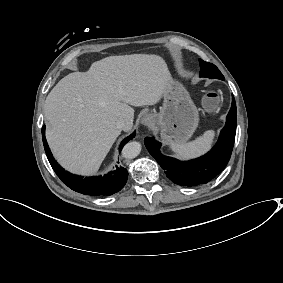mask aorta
<instances>
[{"label": "aorta", "mask_w": 283, "mask_h": 283, "mask_svg": "<svg viewBox=\"0 0 283 283\" xmlns=\"http://www.w3.org/2000/svg\"><path fill=\"white\" fill-rule=\"evenodd\" d=\"M140 151L141 144L139 142L132 141L124 146L122 156L126 159H133L139 155Z\"/></svg>", "instance_id": "1"}]
</instances>
